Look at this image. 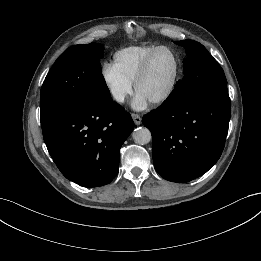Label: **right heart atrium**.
I'll use <instances>...</instances> for the list:
<instances>
[{"label":"right heart atrium","instance_id":"obj_1","mask_svg":"<svg viewBox=\"0 0 261 261\" xmlns=\"http://www.w3.org/2000/svg\"><path fill=\"white\" fill-rule=\"evenodd\" d=\"M102 81L112 99L123 104L133 91V84L110 63H105L101 68Z\"/></svg>","mask_w":261,"mask_h":261}]
</instances>
